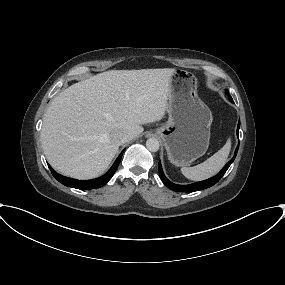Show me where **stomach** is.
I'll list each match as a JSON object with an SVG mask.
<instances>
[{"label":"stomach","instance_id":"obj_1","mask_svg":"<svg viewBox=\"0 0 285 285\" xmlns=\"http://www.w3.org/2000/svg\"><path fill=\"white\" fill-rule=\"evenodd\" d=\"M197 86V78L192 73L175 70L170 83L168 121L156 129L169 161L175 166L193 162L209 147L213 117L198 97Z\"/></svg>","mask_w":285,"mask_h":285}]
</instances>
